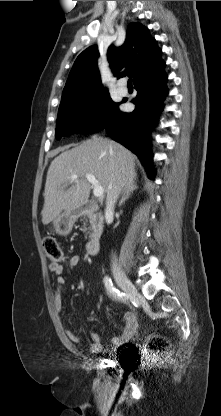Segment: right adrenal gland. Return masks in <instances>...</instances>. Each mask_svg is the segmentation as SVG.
<instances>
[{"instance_id": "2a0ac1e0", "label": "right adrenal gland", "mask_w": 221, "mask_h": 416, "mask_svg": "<svg viewBox=\"0 0 221 416\" xmlns=\"http://www.w3.org/2000/svg\"><path fill=\"white\" fill-rule=\"evenodd\" d=\"M137 189V186L135 184H132L128 190L125 192L124 196L122 197V199L119 202V205H122L129 197L130 195L133 193L134 190Z\"/></svg>"}]
</instances>
